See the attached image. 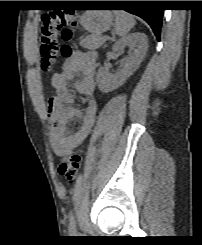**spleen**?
I'll return each mask as SVG.
<instances>
[{"label": "spleen", "instance_id": "1", "mask_svg": "<svg viewBox=\"0 0 202 245\" xmlns=\"http://www.w3.org/2000/svg\"><path fill=\"white\" fill-rule=\"evenodd\" d=\"M115 30L120 37H125L128 32L135 26L136 21L133 16L125 11H114Z\"/></svg>", "mask_w": 202, "mask_h": 245}]
</instances>
